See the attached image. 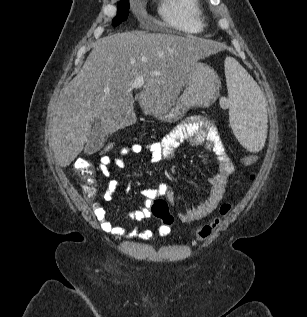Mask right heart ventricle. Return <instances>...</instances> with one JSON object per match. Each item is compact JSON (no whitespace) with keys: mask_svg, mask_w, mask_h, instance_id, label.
<instances>
[{"mask_svg":"<svg viewBox=\"0 0 307 317\" xmlns=\"http://www.w3.org/2000/svg\"><path fill=\"white\" fill-rule=\"evenodd\" d=\"M159 14L166 26L183 33H201L206 28L201 0H161Z\"/></svg>","mask_w":307,"mask_h":317,"instance_id":"right-heart-ventricle-1","label":"right heart ventricle"}]
</instances>
